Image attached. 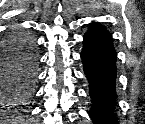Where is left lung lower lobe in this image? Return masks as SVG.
Here are the masks:
<instances>
[{
  "label": "left lung lower lobe",
  "mask_w": 145,
  "mask_h": 124,
  "mask_svg": "<svg viewBox=\"0 0 145 124\" xmlns=\"http://www.w3.org/2000/svg\"><path fill=\"white\" fill-rule=\"evenodd\" d=\"M81 53L92 98L91 118L95 124H116L115 80L117 54L107 29L97 22L90 24L83 36Z\"/></svg>",
  "instance_id": "1"
}]
</instances>
